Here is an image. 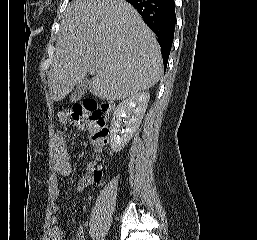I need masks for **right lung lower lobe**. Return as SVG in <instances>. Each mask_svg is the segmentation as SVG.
Returning <instances> with one entry per match:
<instances>
[{"instance_id": "obj_1", "label": "right lung lower lobe", "mask_w": 257, "mask_h": 240, "mask_svg": "<svg viewBox=\"0 0 257 240\" xmlns=\"http://www.w3.org/2000/svg\"><path fill=\"white\" fill-rule=\"evenodd\" d=\"M136 8L146 24L158 37L166 69L176 23L174 0H126Z\"/></svg>"}]
</instances>
